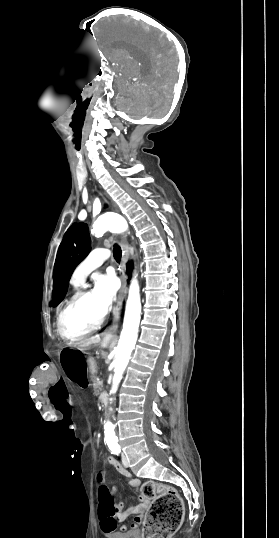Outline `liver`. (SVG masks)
<instances>
[{"instance_id":"1","label":"liver","mask_w":279,"mask_h":538,"mask_svg":"<svg viewBox=\"0 0 279 538\" xmlns=\"http://www.w3.org/2000/svg\"><path fill=\"white\" fill-rule=\"evenodd\" d=\"M99 342H101V338H99V336H93V338H89V340L85 342L83 348L87 350L88 346H91V344H99Z\"/></svg>"}]
</instances>
